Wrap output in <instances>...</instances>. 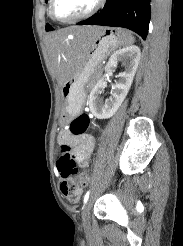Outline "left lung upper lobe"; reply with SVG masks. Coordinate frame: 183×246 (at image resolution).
I'll return each mask as SVG.
<instances>
[{"mask_svg": "<svg viewBox=\"0 0 183 246\" xmlns=\"http://www.w3.org/2000/svg\"><path fill=\"white\" fill-rule=\"evenodd\" d=\"M45 2H47V0H45ZM46 30H47V31L53 30V28H52L49 24H47V25H46Z\"/></svg>", "mask_w": 183, "mask_h": 246, "instance_id": "obj_1", "label": "left lung upper lobe"}]
</instances>
